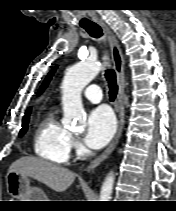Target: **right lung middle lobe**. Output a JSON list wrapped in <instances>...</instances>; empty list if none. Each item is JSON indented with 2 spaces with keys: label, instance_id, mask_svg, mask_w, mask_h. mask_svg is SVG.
<instances>
[{
  "label": "right lung middle lobe",
  "instance_id": "dd1d6c3e",
  "mask_svg": "<svg viewBox=\"0 0 176 211\" xmlns=\"http://www.w3.org/2000/svg\"><path fill=\"white\" fill-rule=\"evenodd\" d=\"M28 120H29V114L25 115L24 118H23L22 129L20 131L19 136H22L27 131V128H28Z\"/></svg>",
  "mask_w": 176,
  "mask_h": 211
}]
</instances>
